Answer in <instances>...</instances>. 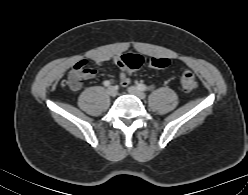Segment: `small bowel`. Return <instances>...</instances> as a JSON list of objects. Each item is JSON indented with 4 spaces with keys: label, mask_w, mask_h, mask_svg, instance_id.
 <instances>
[{
    "label": "small bowel",
    "mask_w": 248,
    "mask_h": 195,
    "mask_svg": "<svg viewBox=\"0 0 248 195\" xmlns=\"http://www.w3.org/2000/svg\"><path fill=\"white\" fill-rule=\"evenodd\" d=\"M120 56H103V55H96L93 56L90 60L95 64L102 65L107 62H112L117 65L121 69V73L119 75V80L121 85L128 86L130 84V78L126 74V69L120 64ZM96 75V70L93 68L85 67V71L83 73L84 79H92Z\"/></svg>",
    "instance_id": "obj_1"
}]
</instances>
